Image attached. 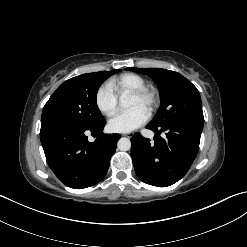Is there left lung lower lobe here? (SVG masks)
I'll use <instances>...</instances> for the list:
<instances>
[{"label": "left lung lower lobe", "instance_id": "left-lung-lower-lobe-1", "mask_svg": "<svg viewBox=\"0 0 247 247\" xmlns=\"http://www.w3.org/2000/svg\"><path fill=\"white\" fill-rule=\"evenodd\" d=\"M146 128L155 132L154 143L135 133L131 156L135 172L144 183L167 187L179 181L191 167L199 150L203 123L187 119ZM164 132L165 138L159 137Z\"/></svg>", "mask_w": 247, "mask_h": 247}]
</instances>
